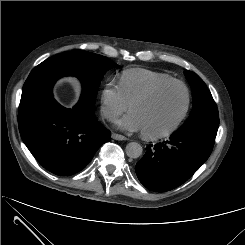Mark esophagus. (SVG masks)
Instances as JSON below:
<instances>
[{
  "mask_svg": "<svg viewBox=\"0 0 245 245\" xmlns=\"http://www.w3.org/2000/svg\"><path fill=\"white\" fill-rule=\"evenodd\" d=\"M111 137L115 140H127L125 136L117 134V133H112Z\"/></svg>",
  "mask_w": 245,
  "mask_h": 245,
  "instance_id": "1",
  "label": "esophagus"
}]
</instances>
